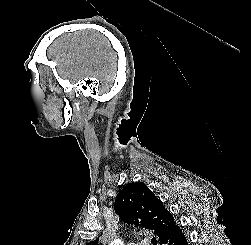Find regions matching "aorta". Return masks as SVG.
<instances>
[{
    "instance_id": "762f6f07",
    "label": "aorta",
    "mask_w": 251,
    "mask_h": 245,
    "mask_svg": "<svg viewBox=\"0 0 251 245\" xmlns=\"http://www.w3.org/2000/svg\"><path fill=\"white\" fill-rule=\"evenodd\" d=\"M110 245H123L120 239H115L114 241L111 242Z\"/></svg>"
}]
</instances>
